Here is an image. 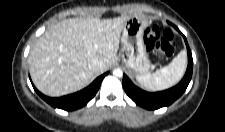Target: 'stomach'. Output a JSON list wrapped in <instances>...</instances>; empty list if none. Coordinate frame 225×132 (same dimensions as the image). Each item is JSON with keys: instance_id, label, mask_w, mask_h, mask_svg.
Listing matches in <instances>:
<instances>
[{"instance_id": "1", "label": "stomach", "mask_w": 225, "mask_h": 132, "mask_svg": "<svg viewBox=\"0 0 225 132\" xmlns=\"http://www.w3.org/2000/svg\"><path fill=\"white\" fill-rule=\"evenodd\" d=\"M146 28L147 21L144 18L132 16L124 24L121 38L122 62L139 75H145L151 67L144 44Z\"/></svg>"}]
</instances>
